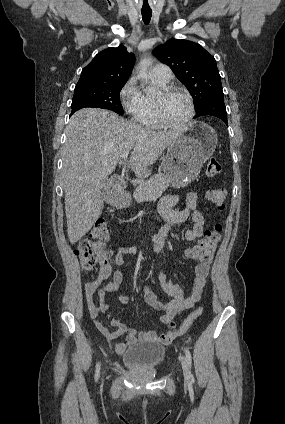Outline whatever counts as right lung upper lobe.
Here are the masks:
<instances>
[{
  "label": "right lung upper lobe",
  "mask_w": 285,
  "mask_h": 424,
  "mask_svg": "<svg viewBox=\"0 0 285 424\" xmlns=\"http://www.w3.org/2000/svg\"><path fill=\"white\" fill-rule=\"evenodd\" d=\"M135 62L133 53L120 45L98 53L81 72L76 86L124 83L131 75Z\"/></svg>",
  "instance_id": "obj_1"
}]
</instances>
